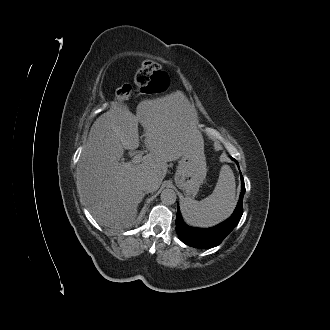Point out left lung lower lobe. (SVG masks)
<instances>
[{
    "label": "left lung lower lobe",
    "mask_w": 330,
    "mask_h": 330,
    "mask_svg": "<svg viewBox=\"0 0 330 330\" xmlns=\"http://www.w3.org/2000/svg\"><path fill=\"white\" fill-rule=\"evenodd\" d=\"M236 162H238L231 158ZM239 167V165H238ZM245 192L244 179L241 175V193L237 206L233 214L226 221L211 228H193L186 225L181 217L179 209L176 217V231L180 239L187 245L195 248L208 249L218 246L223 239L235 228L239 223L243 214V196Z\"/></svg>",
    "instance_id": "obj_1"
}]
</instances>
